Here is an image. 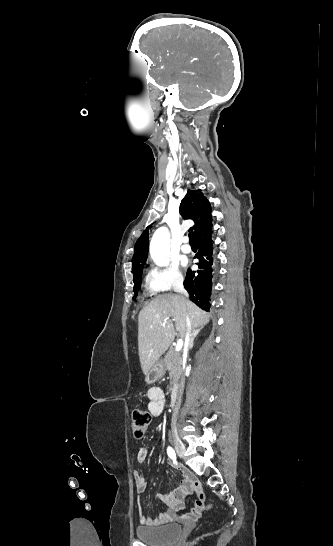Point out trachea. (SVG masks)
<instances>
[{"label":"trachea","instance_id":"trachea-1","mask_svg":"<svg viewBox=\"0 0 333 546\" xmlns=\"http://www.w3.org/2000/svg\"><path fill=\"white\" fill-rule=\"evenodd\" d=\"M189 240H190V244H191V245H195V244H196V243H195V239H194V234H193V232H190V233H189Z\"/></svg>","mask_w":333,"mask_h":546}]
</instances>
